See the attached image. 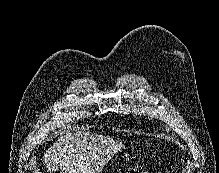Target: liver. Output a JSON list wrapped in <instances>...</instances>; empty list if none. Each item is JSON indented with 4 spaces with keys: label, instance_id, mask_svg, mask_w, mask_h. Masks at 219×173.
<instances>
[{
    "label": "liver",
    "instance_id": "1",
    "mask_svg": "<svg viewBox=\"0 0 219 173\" xmlns=\"http://www.w3.org/2000/svg\"><path fill=\"white\" fill-rule=\"evenodd\" d=\"M123 147L108 136L67 130L46 150L43 164L48 172L99 173Z\"/></svg>",
    "mask_w": 219,
    "mask_h": 173
}]
</instances>
